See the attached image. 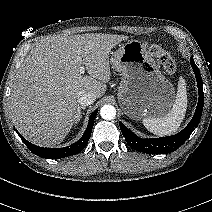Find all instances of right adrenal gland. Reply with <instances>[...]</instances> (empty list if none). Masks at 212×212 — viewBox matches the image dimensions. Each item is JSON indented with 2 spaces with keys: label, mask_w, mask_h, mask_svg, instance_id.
<instances>
[{
  "label": "right adrenal gland",
  "mask_w": 212,
  "mask_h": 212,
  "mask_svg": "<svg viewBox=\"0 0 212 212\" xmlns=\"http://www.w3.org/2000/svg\"><path fill=\"white\" fill-rule=\"evenodd\" d=\"M83 109H85L84 106H80V107L77 108V115H76V119H75V123H76V124L80 121V119H81V117H82V112H81V111H82Z\"/></svg>",
  "instance_id": "obj_1"
}]
</instances>
